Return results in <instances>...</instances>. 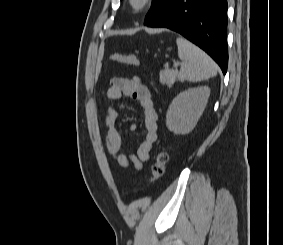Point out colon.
Segmentation results:
<instances>
[{"label": "colon", "mask_w": 283, "mask_h": 245, "mask_svg": "<svg viewBox=\"0 0 283 245\" xmlns=\"http://www.w3.org/2000/svg\"><path fill=\"white\" fill-rule=\"evenodd\" d=\"M111 59L118 63H123L129 66L136 67L139 65V60L133 54H125L122 52H114L111 54ZM168 153L166 151H160L157 153L152 166V177L150 182L155 183L165 172V168L168 162ZM141 188L138 187L137 191Z\"/></svg>", "instance_id": "5ec220e1"}]
</instances>
